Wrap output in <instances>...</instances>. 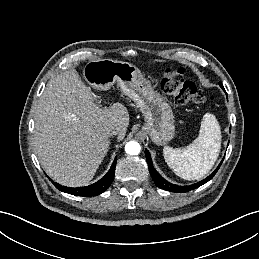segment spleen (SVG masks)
<instances>
[{"instance_id":"1","label":"spleen","mask_w":259,"mask_h":259,"mask_svg":"<svg viewBox=\"0 0 259 259\" xmlns=\"http://www.w3.org/2000/svg\"><path fill=\"white\" fill-rule=\"evenodd\" d=\"M220 125L213 114L206 113L198 137L185 148L165 146L163 155L172 171L185 180H197L207 174L221 148Z\"/></svg>"}]
</instances>
